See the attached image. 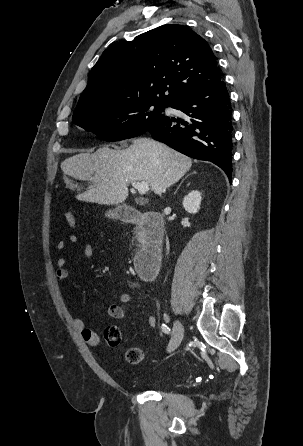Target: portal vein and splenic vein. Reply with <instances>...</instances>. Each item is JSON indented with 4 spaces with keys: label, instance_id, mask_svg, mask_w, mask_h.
<instances>
[{
    "label": "portal vein and splenic vein",
    "instance_id": "obj_1",
    "mask_svg": "<svg viewBox=\"0 0 303 446\" xmlns=\"http://www.w3.org/2000/svg\"><path fill=\"white\" fill-rule=\"evenodd\" d=\"M132 186L136 188L141 195H144L149 191V184L145 181L132 182Z\"/></svg>",
    "mask_w": 303,
    "mask_h": 446
}]
</instances>
